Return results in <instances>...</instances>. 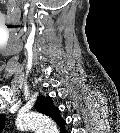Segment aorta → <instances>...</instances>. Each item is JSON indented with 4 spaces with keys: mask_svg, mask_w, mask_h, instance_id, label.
Masks as SVG:
<instances>
[{
    "mask_svg": "<svg viewBox=\"0 0 120 133\" xmlns=\"http://www.w3.org/2000/svg\"><path fill=\"white\" fill-rule=\"evenodd\" d=\"M49 126L53 127L52 122L41 113H29L19 117L17 127L20 129L33 128L46 130Z\"/></svg>",
    "mask_w": 120,
    "mask_h": 133,
    "instance_id": "aorta-1",
    "label": "aorta"
}]
</instances>
